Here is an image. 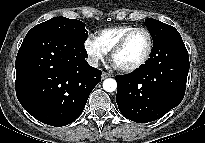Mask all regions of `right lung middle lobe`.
Here are the masks:
<instances>
[{
  "label": "right lung middle lobe",
  "instance_id": "1",
  "mask_svg": "<svg viewBox=\"0 0 205 143\" xmlns=\"http://www.w3.org/2000/svg\"><path fill=\"white\" fill-rule=\"evenodd\" d=\"M33 28L53 29L80 44H84L88 35V32L85 29V24L82 21L66 17H54Z\"/></svg>",
  "mask_w": 205,
  "mask_h": 143
}]
</instances>
